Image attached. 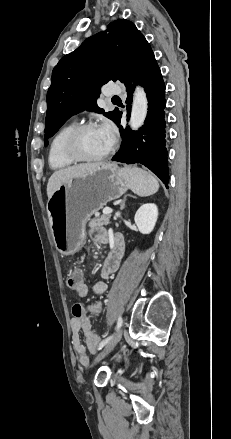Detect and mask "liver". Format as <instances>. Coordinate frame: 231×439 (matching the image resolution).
I'll return each instance as SVG.
<instances>
[{
	"mask_svg": "<svg viewBox=\"0 0 231 439\" xmlns=\"http://www.w3.org/2000/svg\"><path fill=\"white\" fill-rule=\"evenodd\" d=\"M102 164L103 163H85L55 171L49 178L47 184L48 200L62 184L78 176L90 173Z\"/></svg>",
	"mask_w": 231,
	"mask_h": 439,
	"instance_id": "6515ba94",
	"label": "liver"
}]
</instances>
